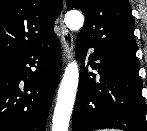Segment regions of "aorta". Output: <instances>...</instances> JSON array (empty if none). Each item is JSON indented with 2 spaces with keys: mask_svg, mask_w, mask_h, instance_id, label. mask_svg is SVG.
I'll list each match as a JSON object with an SVG mask.
<instances>
[{
  "mask_svg": "<svg viewBox=\"0 0 147 131\" xmlns=\"http://www.w3.org/2000/svg\"><path fill=\"white\" fill-rule=\"evenodd\" d=\"M66 26L72 30H80L84 24V16L76 10L66 13L64 18ZM79 81V69L76 61L68 64L61 81L57 102L52 120V131H68L77 87Z\"/></svg>",
  "mask_w": 147,
  "mask_h": 131,
  "instance_id": "obj_1",
  "label": "aorta"
}]
</instances>
